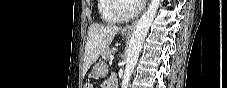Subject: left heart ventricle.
<instances>
[{
	"label": "left heart ventricle",
	"mask_w": 227,
	"mask_h": 88,
	"mask_svg": "<svg viewBox=\"0 0 227 88\" xmlns=\"http://www.w3.org/2000/svg\"><path fill=\"white\" fill-rule=\"evenodd\" d=\"M135 4L132 1H124L120 3V9L123 13H131L135 9Z\"/></svg>",
	"instance_id": "obj_1"
}]
</instances>
